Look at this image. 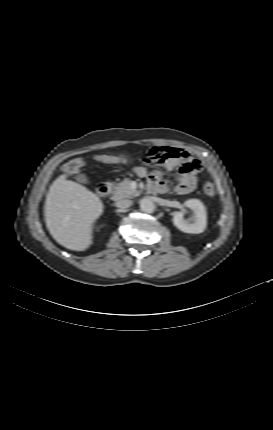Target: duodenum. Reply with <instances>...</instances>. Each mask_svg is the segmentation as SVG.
<instances>
[{
    "instance_id": "410a0bca",
    "label": "duodenum",
    "mask_w": 273,
    "mask_h": 430,
    "mask_svg": "<svg viewBox=\"0 0 273 430\" xmlns=\"http://www.w3.org/2000/svg\"><path fill=\"white\" fill-rule=\"evenodd\" d=\"M96 192L99 196L104 197L110 192V185L108 182H101L96 186Z\"/></svg>"
}]
</instances>
